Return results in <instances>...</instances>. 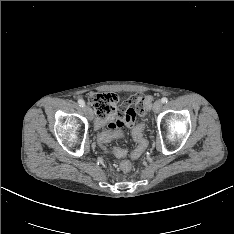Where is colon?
<instances>
[{
	"instance_id": "5ec220e1",
	"label": "colon",
	"mask_w": 234,
	"mask_h": 234,
	"mask_svg": "<svg viewBox=\"0 0 234 234\" xmlns=\"http://www.w3.org/2000/svg\"><path fill=\"white\" fill-rule=\"evenodd\" d=\"M143 100L142 121H140L138 127L134 128L131 134L132 139L137 142V146L134 147L132 151H128L119 146H115L109 150L106 148V144L113 140L121 139L123 144L128 142L130 135L121 127L127 121V114L118 107L117 96L113 93H92L88 96V101L93 106L98 117L96 128L101 130L103 126L107 125L106 130L101 131L98 135V142L105 151L110 152L117 158H124L128 155L133 159L140 158L146 148V143L142 134L145 122V112L151 107L155 97L146 94L144 95ZM121 169L124 172L131 171V162H122Z\"/></svg>"
}]
</instances>
